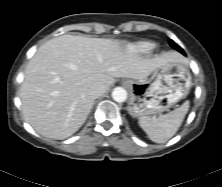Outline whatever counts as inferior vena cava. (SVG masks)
<instances>
[{
	"mask_svg": "<svg viewBox=\"0 0 222 187\" xmlns=\"http://www.w3.org/2000/svg\"><path fill=\"white\" fill-rule=\"evenodd\" d=\"M105 92L106 86L103 84H96L92 86L89 90V94L95 99L103 95Z\"/></svg>",
	"mask_w": 222,
	"mask_h": 187,
	"instance_id": "obj_1",
	"label": "inferior vena cava"
}]
</instances>
